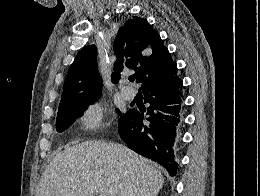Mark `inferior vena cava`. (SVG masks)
Here are the masks:
<instances>
[{
  "instance_id": "1",
  "label": "inferior vena cava",
  "mask_w": 260,
  "mask_h": 196,
  "mask_svg": "<svg viewBox=\"0 0 260 196\" xmlns=\"http://www.w3.org/2000/svg\"><path fill=\"white\" fill-rule=\"evenodd\" d=\"M125 196H134V194H133V192H130V190H129V192H126Z\"/></svg>"
}]
</instances>
